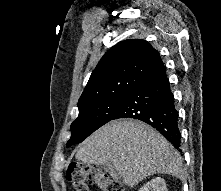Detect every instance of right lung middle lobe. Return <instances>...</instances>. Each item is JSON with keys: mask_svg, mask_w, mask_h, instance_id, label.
Returning a JSON list of instances; mask_svg holds the SVG:
<instances>
[{"mask_svg": "<svg viewBox=\"0 0 221 191\" xmlns=\"http://www.w3.org/2000/svg\"><path fill=\"white\" fill-rule=\"evenodd\" d=\"M127 94L128 92L79 109V115L70 127L71 138L67 147L82 142L95 130L111 121Z\"/></svg>", "mask_w": 221, "mask_h": 191, "instance_id": "1", "label": "right lung middle lobe"}]
</instances>
